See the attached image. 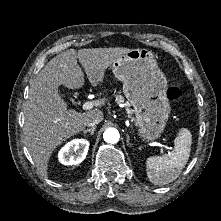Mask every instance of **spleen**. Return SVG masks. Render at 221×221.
<instances>
[{
  "mask_svg": "<svg viewBox=\"0 0 221 221\" xmlns=\"http://www.w3.org/2000/svg\"><path fill=\"white\" fill-rule=\"evenodd\" d=\"M192 135L186 128L179 130L174 149L165 156H151L146 161L148 179L155 185H166L176 180L190 156Z\"/></svg>",
  "mask_w": 221,
  "mask_h": 221,
  "instance_id": "3e777b00",
  "label": "spleen"
}]
</instances>
